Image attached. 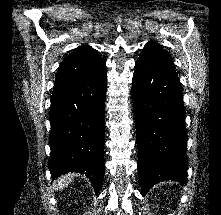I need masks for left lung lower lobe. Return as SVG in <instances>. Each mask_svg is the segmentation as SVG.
Returning <instances> with one entry per match:
<instances>
[{
  "instance_id": "obj_1",
  "label": "left lung lower lobe",
  "mask_w": 221,
  "mask_h": 215,
  "mask_svg": "<svg viewBox=\"0 0 221 215\" xmlns=\"http://www.w3.org/2000/svg\"><path fill=\"white\" fill-rule=\"evenodd\" d=\"M132 98L142 195L160 181L187 183L185 109L176 71L137 60Z\"/></svg>"
}]
</instances>
